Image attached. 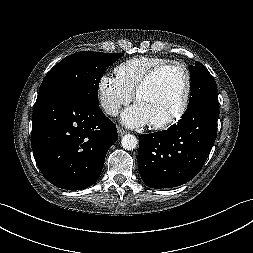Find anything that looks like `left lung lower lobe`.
<instances>
[{"mask_svg": "<svg viewBox=\"0 0 253 253\" xmlns=\"http://www.w3.org/2000/svg\"><path fill=\"white\" fill-rule=\"evenodd\" d=\"M219 104L201 103L167 130L139 136L138 169L151 188L180 186L201 170L217 134Z\"/></svg>", "mask_w": 253, "mask_h": 253, "instance_id": "left-lung-lower-lobe-1", "label": "left lung lower lobe"}]
</instances>
